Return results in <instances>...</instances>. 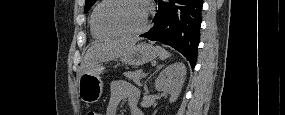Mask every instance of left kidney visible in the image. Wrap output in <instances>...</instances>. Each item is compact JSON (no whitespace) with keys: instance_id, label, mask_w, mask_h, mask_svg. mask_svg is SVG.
<instances>
[{"instance_id":"5707ae66","label":"left kidney","mask_w":285,"mask_h":115,"mask_svg":"<svg viewBox=\"0 0 285 115\" xmlns=\"http://www.w3.org/2000/svg\"><path fill=\"white\" fill-rule=\"evenodd\" d=\"M186 77V67L182 62H176L164 68L155 81L158 91L171 95L170 102H175L181 92Z\"/></svg>"}]
</instances>
